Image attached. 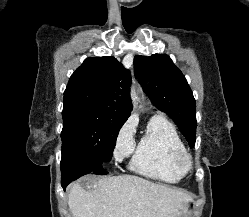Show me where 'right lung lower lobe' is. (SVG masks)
I'll use <instances>...</instances> for the list:
<instances>
[{
    "label": "right lung lower lobe",
    "mask_w": 249,
    "mask_h": 217,
    "mask_svg": "<svg viewBox=\"0 0 249 217\" xmlns=\"http://www.w3.org/2000/svg\"><path fill=\"white\" fill-rule=\"evenodd\" d=\"M62 187L65 190L67 185L82 175L94 173L106 175L103 165L97 159L87 153L75 149L62 148L61 160Z\"/></svg>",
    "instance_id": "right-lung-lower-lobe-1"
}]
</instances>
